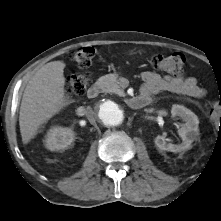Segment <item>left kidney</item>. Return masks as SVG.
Here are the masks:
<instances>
[{"instance_id":"1","label":"left kidney","mask_w":221,"mask_h":221,"mask_svg":"<svg viewBox=\"0 0 221 221\" xmlns=\"http://www.w3.org/2000/svg\"><path fill=\"white\" fill-rule=\"evenodd\" d=\"M173 117H180L185 123L181 125L178 133L182 138L181 144L167 143L164 136L158 135L155 138L156 146L164 151L174 153L182 152L191 148V144L199 135L198 117L189 109L181 105L174 104L171 109Z\"/></svg>"}]
</instances>
